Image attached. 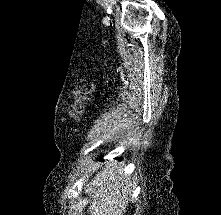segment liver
<instances>
[{
	"instance_id": "liver-1",
	"label": "liver",
	"mask_w": 221,
	"mask_h": 215,
	"mask_svg": "<svg viewBox=\"0 0 221 215\" xmlns=\"http://www.w3.org/2000/svg\"><path fill=\"white\" fill-rule=\"evenodd\" d=\"M121 170L116 161H111L87 186L91 198L89 215H122L126 212L132 182L129 176L121 174Z\"/></svg>"
}]
</instances>
